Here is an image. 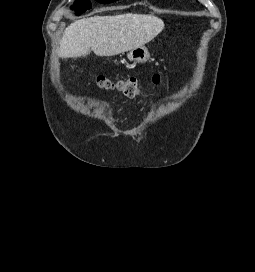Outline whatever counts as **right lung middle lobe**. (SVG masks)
Masks as SVG:
<instances>
[{
    "instance_id": "right-lung-middle-lobe-1",
    "label": "right lung middle lobe",
    "mask_w": 255,
    "mask_h": 272,
    "mask_svg": "<svg viewBox=\"0 0 255 272\" xmlns=\"http://www.w3.org/2000/svg\"><path fill=\"white\" fill-rule=\"evenodd\" d=\"M100 3H110L116 0H96ZM92 7L90 0H77L75 3L76 15H80Z\"/></svg>"
}]
</instances>
